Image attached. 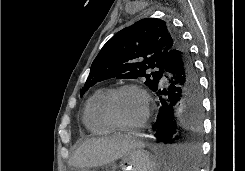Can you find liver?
<instances>
[{
    "mask_svg": "<svg viewBox=\"0 0 245 171\" xmlns=\"http://www.w3.org/2000/svg\"><path fill=\"white\" fill-rule=\"evenodd\" d=\"M144 146L132 134L118 133L109 137L91 138L77 148L69 165L77 168L108 165L124 157L130 150Z\"/></svg>",
    "mask_w": 245,
    "mask_h": 171,
    "instance_id": "6515ba94",
    "label": "liver"
}]
</instances>
